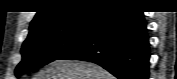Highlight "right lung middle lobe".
<instances>
[{
    "instance_id": "right-lung-middle-lobe-1",
    "label": "right lung middle lobe",
    "mask_w": 177,
    "mask_h": 79,
    "mask_svg": "<svg viewBox=\"0 0 177 79\" xmlns=\"http://www.w3.org/2000/svg\"><path fill=\"white\" fill-rule=\"evenodd\" d=\"M101 15L92 13L31 30L21 49L23 59L15 70L16 76L57 60L73 49L88 36Z\"/></svg>"
}]
</instances>
